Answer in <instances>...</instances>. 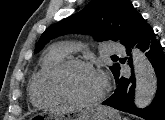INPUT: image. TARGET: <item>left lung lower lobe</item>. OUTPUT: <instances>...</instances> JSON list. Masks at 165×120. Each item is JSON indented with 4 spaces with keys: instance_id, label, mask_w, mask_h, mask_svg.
Returning <instances> with one entry per match:
<instances>
[{
    "instance_id": "1",
    "label": "left lung lower lobe",
    "mask_w": 165,
    "mask_h": 120,
    "mask_svg": "<svg viewBox=\"0 0 165 120\" xmlns=\"http://www.w3.org/2000/svg\"><path fill=\"white\" fill-rule=\"evenodd\" d=\"M126 52L131 55V48L136 46L149 58L156 76L157 91L153 102L144 109L135 108L134 90L135 77L133 70L129 78L120 76V65L118 67L116 84L117 88L113 95L102 102L103 105L135 114L145 120H165V54L162 46L156 39L151 26L141 17L127 41L124 43ZM129 58L128 62H130ZM124 63V62H121ZM132 67V64H130Z\"/></svg>"
}]
</instances>
